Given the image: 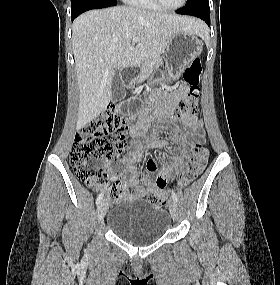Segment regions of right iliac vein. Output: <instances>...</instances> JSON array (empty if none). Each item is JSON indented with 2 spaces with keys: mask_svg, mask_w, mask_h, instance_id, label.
Returning <instances> with one entry per match:
<instances>
[{
  "mask_svg": "<svg viewBox=\"0 0 280 285\" xmlns=\"http://www.w3.org/2000/svg\"><path fill=\"white\" fill-rule=\"evenodd\" d=\"M108 210V203L106 200H103L98 207V220L99 222L104 218Z\"/></svg>",
  "mask_w": 280,
  "mask_h": 285,
  "instance_id": "1",
  "label": "right iliac vein"
}]
</instances>
